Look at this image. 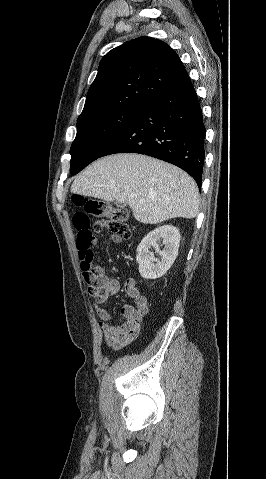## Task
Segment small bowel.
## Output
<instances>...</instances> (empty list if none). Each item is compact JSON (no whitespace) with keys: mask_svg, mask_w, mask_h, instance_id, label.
<instances>
[{"mask_svg":"<svg viewBox=\"0 0 266 479\" xmlns=\"http://www.w3.org/2000/svg\"><path fill=\"white\" fill-rule=\"evenodd\" d=\"M112 238L116 242L120 241L118 236H112ZM98 241L99 239L92 238L91 247ZM93 273L97 281V295L94 297V305L100 318V328L106 344L113 349H120L130 344L137 337L141 322L149 310L147 299L140 293L134 279L127 280L125 291L135 304H124L122 314L125 321L120 324H113V316L106 305L111 296H116L121 292V285L118 280L107 275L101 265H97Z\"/></svg>","mask_w":266,"mask_h":479,"instance_id":"c3829d8e","label":"small bowel"}]
</instances>
